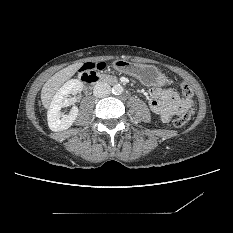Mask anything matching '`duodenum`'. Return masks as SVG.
I'll return each instance as SVG.
<instances>
[{"mask_svg":"<svg viewBox=\"0 0 233 233\" xmlns=\"http://www.w3.org/2000/svg\"><path fill=\"white\" fill-rule=\"evenodd\" d=\"M81 81L87 86L88 89H91L93 86H95L96 84L105 81L107 83L110 84H119L120 81L117 78L114 77H108L103 79L102 77H100L98 74H81Z\"/></svg>","mask_w":233,"mask_h":233,"instance_id":"obj_1","label":"duodenum"}]
</instances>
